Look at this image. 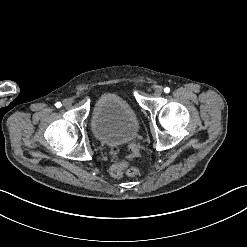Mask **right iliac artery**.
<instances>
[{"label":"right iliac artery","mask_w":247,"mask_h":247,"mask_svg":"<svg viewBox=\"0 0 247 247\" xmlns=\"http://www.w3.org/2000/svg\"><path fill=\"white\" fill-rule=\"evenodd\" d=\"M55 106H56L57 108H60V107L62 106V104H61L60 102H57V103L55 104Z\"/></svg>","instance_id":"82829eb1"}]
</instances>
